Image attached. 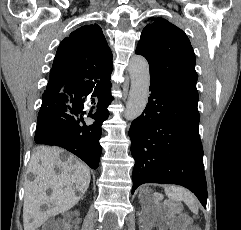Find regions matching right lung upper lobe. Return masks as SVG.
Listing matches in <instances>:
<instances>
[{"mask_svg": "<svg viewBox=\"0 0 241 230\" xmlns=\"http://www.w3.org/2000/svg\"><path fill=\"white\" fill-rule=\"evenodd\" d=\"M112 58L101 28L82 26L60 43L46 89L55 91L69 82L110 80Z\"/></svg>", "mask_w": 241, "mask_h": 230, "instance_id": "cb5924a9", "label": "right lung upper lobe"}]
</instances>
